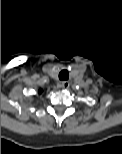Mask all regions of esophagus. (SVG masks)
I'll return each instance as SVG.
<instances>
[{"label": "esophagus", "mask_w": 122, "mask_h": 154, "mask_svg": "<svg viewBox=\"0 0 122 154\" xmlns=\"http://www.w3.org/2000/svg\"><path fill=\"white\" fill-rule=\"evenodd\" d=\"M69 86H70V83H69L68 81H63V82L61 83V87H62L63 89H68Z\"/></svg>", "instance_id": "1"}]
</instances>
